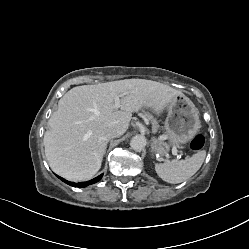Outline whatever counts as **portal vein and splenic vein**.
Returning <instances> with one entry per match:
<instances>
[{"instance_id": "portal-vein-and-splenic-vein-1", "label": "portal vein and splenic vein", "mask_w": 249, "mask_h": 249, "mask_svg": "<svg viewBox=\"0 0 249 249\" xmlns=\"http://www.w3.org/2000/svg\"><path fill=\"white\" fill-rule=\"evenodd\" d=\"M119 97L120 96H116L115 97V103H114V107L115 108H119L120 107V99H119ZM173 154L178 156L176 148H173Z\"/></svg>"}]
</instances>
